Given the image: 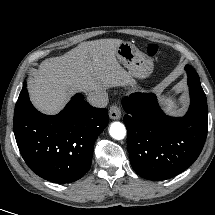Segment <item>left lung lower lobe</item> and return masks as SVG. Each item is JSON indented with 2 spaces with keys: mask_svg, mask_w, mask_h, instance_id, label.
Returning <instances> with one entry per match:
<instances>
[{
  "mask_svg": "<svg viewBox=\"0 0 215 215\" xmlns=\"http://www.w3.org/2000/svg\"><path fill=\"white\" fill-rule=\"evenodd\" d=\"M187 72L189 110L183 117L166 115L153 93L123 99L130 162L141 177L161 181L192 165L204 146L208 130L206 95L200 79Z\"/></svg>",
  "mask_w": 215,
  "mask_h": 215,
  "instance_id": "1",
  "label": "left lung lower lobe"
}]
</instances>
